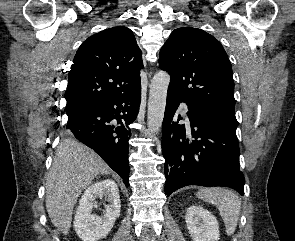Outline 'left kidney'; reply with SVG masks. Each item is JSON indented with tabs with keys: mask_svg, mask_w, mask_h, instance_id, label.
Masks as SVG:
<instances>
[{
	"mask_svg": "<svg viewBox=\"0 0 295 241\" xmlns=\"http://www.w3.org/2000/svg\"><path fill=\"white\" fill-rule=\"evenodd\" d=\"M186 226L193 241H218L219 224L215 216L201 206H190L185 216Z\"/></svg>",
	"mask_w": 295,
	"mask_h": 241,
	"instance_id": "obj_1",
	"label": "left kidney"
}]
</instances>
